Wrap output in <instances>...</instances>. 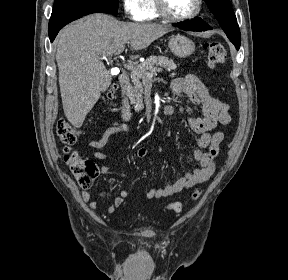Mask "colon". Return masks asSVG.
Returning a JSON list of instances; mask_svg holds the SVG:
<instances>
[{"label":"colon","instance_id":"1","mask_svg":"<svg viewBox=\"0 0 288 280\" xmlns=\"http://www.w3.org/2000/svg\"><path fill=\"white\" fill-rule=\"evenodd\" d=\"M207 52L208 65L210 68H216L223 64L226 60V50L219 42H208L204 45ZM116 91V86H113L108 94V98H112ZM57 136L60 142L65 146V160L76 178L78 184L82 188H90L98 175V166L90 159L83 158L76 151L71 149L75 144L79 130L73 127L66 120H60L56 127ZM201 194L199 189L192 193V199L196 200ZM169 210L180 212L183 209L181 202H174L168 205Z\"/></svg>","mask_w":288,"mask_h":280}]
</instances>
